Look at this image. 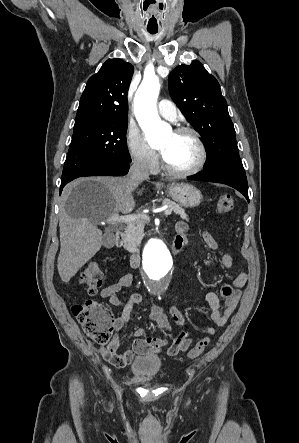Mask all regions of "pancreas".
Instances as JSON below:
<instances>
[{
  "label": "pancreas",
  "mask_w": 299,
  "mask_h": 443,
  "mask_svg": "<svg viewBox=\"0 0 299 443\" xmlns=\"http://www.w3.org/2000/svg\"><path fill=\"white\" fill-rule=\"evenodd\" d=\"M163 205H167L169 210L173 211L175 214H179L182 219L188 220L185 210L174 201L164 199ZM147 222L148 220L140 219L127 225L122 235V242L126 250L132 253L138 252V247L144 236V226Z\"/></svg>",
  "instance_id": "pancreas-1"
}]
</instances>
